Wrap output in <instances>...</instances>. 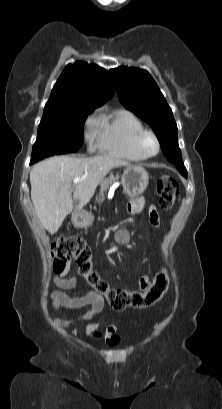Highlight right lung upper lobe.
I'll use <instances>...</instances> for the list:
<instances>
[{"mask_svg": "<svg viewBox=\"0 0 222 409\" xmlns=\"http://www.w3.org/2000/svg\"><path fill=\"white\" fill-rule=\"evenodd\" d=\"M114 95L107 71L77 61L69 64L55 83L44 110L64 107H99Z\"/></svg>", "mask_w": 222, "mask_h": 409, "instance_id": "right-lung-upper-lobe-1", "label": "right lung upper lobe"}]
</instances>
